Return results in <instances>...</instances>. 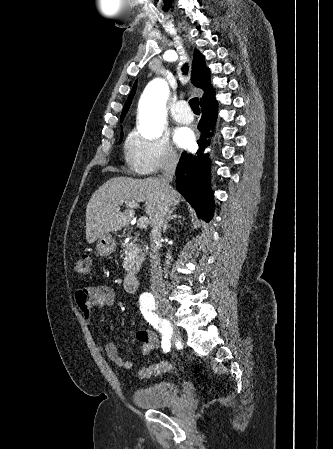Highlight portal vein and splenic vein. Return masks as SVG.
I'll return each mask as SVG.
<instances>
[{
    "mask_svg": "<svg viewBox=\"0 0 333 449\" xmlns=\"http://www.w3.org/2000/svg\"><path fill=\"white\" fill-rule=\"evenodd\" d=\"M125 205H126L127 207L135 208V209L139 207L138 202H136V201H134V200L127 202ZM148 224H149V220H148V218L145 217V216L140 217L139 220H138V222H137V226H138L139 228H146V227L148 226Z\"/></svg>",
    "mask_w": 333,
    "mask_h": 449,
    "instance_id": "1",
    "label": "portal vein and splenic vein"
}]
</instances>
